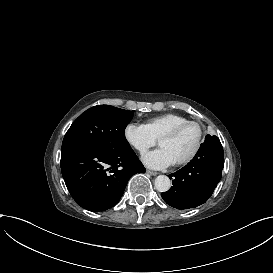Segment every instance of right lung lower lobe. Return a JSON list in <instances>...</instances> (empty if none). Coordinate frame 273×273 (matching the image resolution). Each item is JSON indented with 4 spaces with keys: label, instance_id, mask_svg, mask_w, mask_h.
<instances>
[{
    "label": "right lung lower lobe",
    "instance_id": "1",
    "mask_svg": "<svg viewBox=\"0 0 273 273\" xmlns=\"http://www.w3.org/2000/svg\"><path fill=\"white\" fill-rule=\"evenodd\" d=\"M61 171L68 191L82 208L105 211L122 197L130 177L145 168L132 149L79 145L61 151Z\"/></svg>",
    "mask_w": 273,
    "mask_h": 273
}]
</instances>
